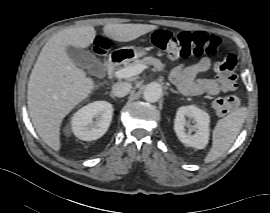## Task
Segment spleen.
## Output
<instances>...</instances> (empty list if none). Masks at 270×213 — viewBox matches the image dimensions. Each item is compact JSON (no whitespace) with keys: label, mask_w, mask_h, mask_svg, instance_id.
<instances>
[{"label":"spleen","mask_w":270,"mask_h":213,"mask_svg":"<svg viewBox=\"0 0 270 213\" xmlns=\"http://www.w3.org/2000/svg\"><path fill=\"white\" fill-rule=\"evenodd\" d=\"M246 115L247 110L243 107L217 122L212 132V147L204 159L205 163L218 159L230 148L241 130Z\"/></svg>","instance_id":"spleen-1"}]
</instances>
